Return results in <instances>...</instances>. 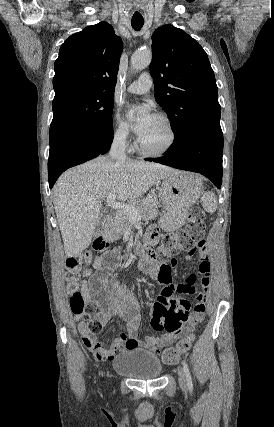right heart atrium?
Instances as JSON below:
<instances>
[{"label":"right heart atrium","instance_id":"right-heart-atrium-1","mask_svg":"<svg viewBox=\"0 0 274 427\" xmlns=\"http://www.w3.org/2000/svg\"><path fill=\"white\" fill-rule=\"evenodd\" d=\"M112 139L116 145L123 149H129L131 147V138L128 128L117 115L114 117Z\"/></svg>","mask_w":274,"mask_h":427}]
</instances>
